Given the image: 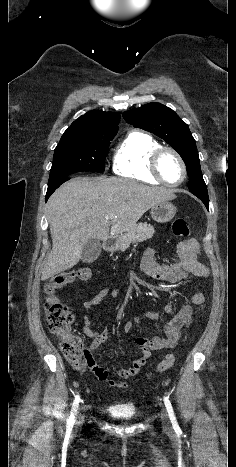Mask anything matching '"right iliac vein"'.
<instances>
[{
	"label": "right iliac vein",
	"instance_id": "right-iliac-vein-1",
	"mask_svg": "<svg viewBox=\"0 0 236 467\" xmlns=\"http://www.w3.org/2000/svg\"><path fill=\"white\" fill-rule=\"evenodd\" d=\"M82 410H83V408L80 407V408H79V412H78V414H77V416H76V420H75L76 425H80V424L82 423V421H83V416H82V414L80 413V411H82Z\"/></svg>",
	"mask_w": 236,
	"mask_h": 467
}]
</instances>
